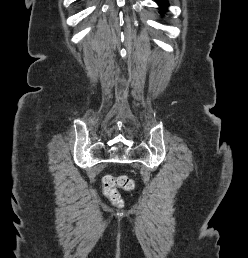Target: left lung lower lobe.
<instances>
[{"instance_id":"left-lung-lower-lobe-1","label":"left lung lower lobe","mask_w":248,"mask_h":258,"mask_svg":"<svg viewBox=\"0 0 248 258\" xmlns=\"http://www.w3.org/2000/svg\"><path fill=\"white\" fill-rule=\"evenodd\" d=\"M156 1L160 5V8L162 11H164L165 8L168 6L167 0H156Z\"/></svg>"}]
</instances>
